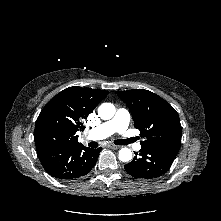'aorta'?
<instances>
[{
	"label": "aorta",
	"mask_w": 221,
	"mask_h": 221,
	"mask_svg": "<svg viewBox=\"0 0 221 221\" xmlns=\"http://www.w3.org/2000/svg\"><path fill=\"white\" fill-rule=\"evenodd\" d=\"M115 114V106L112 103H103L98 108V115L103 120H109L113 118ZM119 160L122 162H128L132 159V151L129 148H122L118 153Z\"/></svg>",
	"instance_id": "762f6f07"
}]
</instances>
